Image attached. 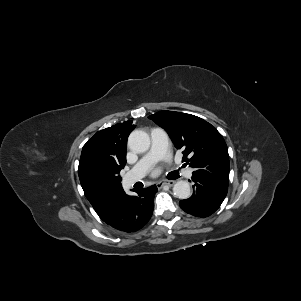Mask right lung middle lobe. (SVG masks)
I'll return each mask as SVG.
<instances>
[{
	"label": "right lung middle lobe",
	"instance_id": "obj_1",
	"mask_svg": "<svg viewBox=\"0 0 301 301\" xmlns=\"http://www.w3.org/2000/svg\"><path fill=\"white\" fill-rule=\"evenodd\" d=\"M120 169L104 165H91L80 176L86 196L98 200H109L121 190Z\"/></svg>",
	"mask_w": 301,
	"mask_h": 301
}]
</instances>
